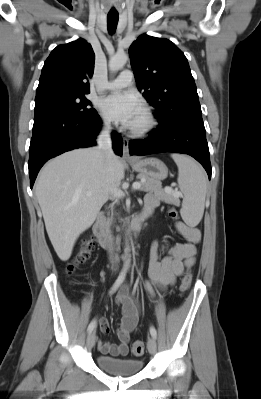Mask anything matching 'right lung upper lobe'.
<instances>
[{
	"label": "right lung upper lobe",
	"mask_w": 261,
	"mask_h": 399,
	"mask_svg": "<svg viewBox=\"0 0 261 399\" xmlns=\"http://www.w3.org/2000/svg\"><path fill=\"white\" fill-rule=\"evenodd\" d=\"M95 54L84 39L54 48L42 68L35 99L90 92Z\"/></svg>",
	"instance_id": "right-lung-upper-lobe-1"
}]
</instances>
